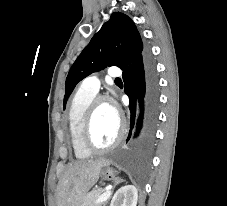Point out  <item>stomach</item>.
<instances>
[{"label": "stomach", "instance_id": "obj_1", "mask_svg": "<svg viewBox=\"0 0 227 206\" xmlns=\"http://www.w3.org/2000/svg\"><path fill=\"white\" fill-rule=\"evenodd\" d=\"M110 164V161H108L101 169L100 176L104 180H113L118 174V172L112 168Z\"/></svg>", "mask_w": 227, "mask_h": 206}]
</instances>
